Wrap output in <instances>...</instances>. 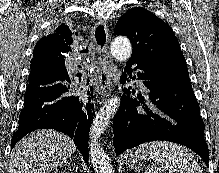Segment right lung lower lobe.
Listing matches in <instances>:
<instances>
[{
  "mask_svg": "<svg viewBox=\"0 0 219 173\" xmlns=\"http://www.w3.org/2000/svg\"><path fill=\"white\" fill-rule=\"evenodd\" d=\"M76 93L65 66L43 65L32 69L11 147L36 129H55L73 139L87 161L90 123L95 114L93 95L85 100Z\"/></svg>",
  "mask_w": 219,
  "mask_h": 173,
  "instance_id": "right-lung-lower-lobe-1",
  "label": "right lung lower lobe"
}]
</instances>
